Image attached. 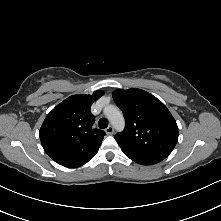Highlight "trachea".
<instances>
[{
    "label": "trachea",
    "instance_id": "1",
    "mask_svg": "<svg viewBox=\"0 0 221 221\" xmlns=\"http://www.w3.org/2000/svg\"><path fill=\"white\" fill-rule=\"evenodd\" d=\"M98 126L101 129L107 128L108 127V120L106 118H101L98 122Z\"/></svg>",
    "mask_w": 221,
    "mask_h": 221
}]
</instances>
